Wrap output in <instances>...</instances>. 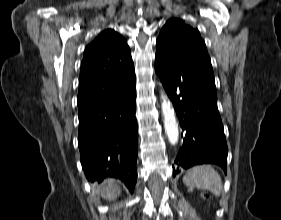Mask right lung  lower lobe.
<instances>
[{"label":"right lung lower lobe","mask_w":281,"mask_h":220,"mask_svg":"<svg viewBox=\"0 0 281 220\" xmlns=\"http://www.w3.org/2000/svg\"><path fill=\"white\" fill-rule=\"evenodd\" d=\"M78 146L87 179L122 180L131 192L137 180L138 129L135 80L113 92L78 102Z\"/></svg>","instance_id":"obj_1"}]
</instances>
